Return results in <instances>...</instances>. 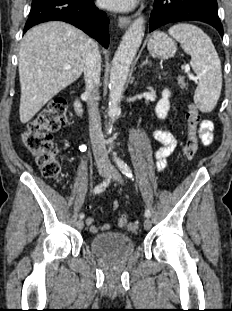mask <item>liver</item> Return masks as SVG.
I'll list each match as a JSON object with an SVG mask.
<instances>
[{
	"instance_id": "obj_1",
	"label": "liver",
	"mask_w": 232,
	"mask_h": 311,
	"mask_svg": "<svg viewBox=\"0 0 232 311\" xmlns=\"http://www.w3.org/2000/svg\"><path fill=\"white\" fill-rule=\"evenodd\" d=\"M89 39L81 30L59 21L38 25L24 35L18 57L22 123L29 122L81 76ZM66 65L71 69H65Z\"/></svg>"
}]
</instances>
